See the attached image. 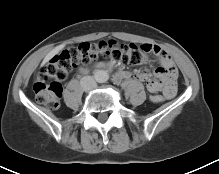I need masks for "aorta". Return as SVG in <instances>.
<instances>
[{"instance_id":"1","label":"aorta","mask_w":219,"mask_h":174,"mask_svg":"<svg viewBox=\"0 0 219 174\" xmlns=\"http://www.w3.org/2000/svg\"><path fill=\"white\" fill-rule=\"evenodd\" d=\"M95 79L99 83H105L109 79V74L105 70H98L95 73Z\"/></svg>"}]
</instances>
